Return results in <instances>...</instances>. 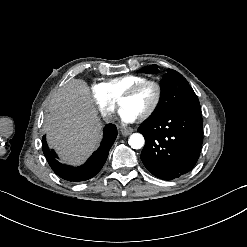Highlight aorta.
<instances>
[{"instance_id": "aorta-1", "label": "aorta", "mask_w": 247, "mask_h": 247, "mask_svg": "<svg viewBox=\"0 0 247 247\" xmlns=\"http://www.w3.org/2000/svg\"><path fill=\"white\" fill-rule=\"evenodd\" d=\"M128 143L133 149H140L144 146L145 140L140 133H134L130 136Z\"/></svg>"}]
</instances>
